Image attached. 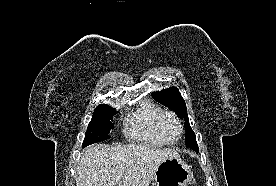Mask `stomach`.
Listing matches in <instances>:
<instances>
[{"instance_id": "1", "label": "stomach", "mask_w": 276, "mask_h": 186, "mask_svg": "<svg viewBox=\"0 0 276 186\" xmlns=\"http://www.w3.org/2000/svg\"><path fill=\"white\" fill-rule=\"evenodd\" d=\"M191 179L190 167L180 156H171L158 166L153 186H188Z\"/></svg>"}]
</instances>
